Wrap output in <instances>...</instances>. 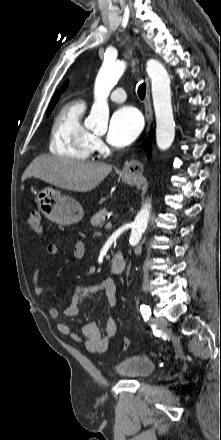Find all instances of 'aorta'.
I'll return each mask as SVG.
<instances>
[{"instance_id":"762f6f07","label":"aorta","mask_w":221,"mask_h":440,"mask_svg":"<svg viewBox=\"0 0 221 440\" xmlns=\"http://www.w3.org/2000/svg\"><path fill=\"white\" fill-rule=\"evenodd\" d=\"M125 69L126 63L124 61L104 62L95 81V101L85 122L87 126H107L109 119L107 97ZM146 71L152 84V98L156 117V143L159 149L166 150L172 145L175 137L170 78L165 67L155 59L147 61ZM150 209L151 205L149 203L145 204L137 214L129 239L131 245L138 244L146 230L150 218Z\"/></svg>"}]
</instances>
